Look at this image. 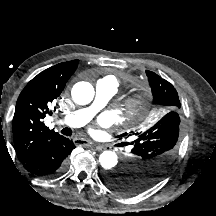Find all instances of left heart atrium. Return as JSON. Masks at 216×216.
I'll return each instance as SVG.
<instances>
[{
	"mask_svg": "<svg viewBox=\"0 0 216 216\" xmlns=\"http://www.w3.org/2000/svg\"><path fill=\"white\" fill-rule=\"evenodd\" d=\"M109 122V117L105 115L104 117L101 118V123L102 124H107Z\"/></svg>",
	"mask_w": 216,
	"mask_h": 216,
	"instance_id": "1",
	"label": "left heart atrium"
}]
</instances>
